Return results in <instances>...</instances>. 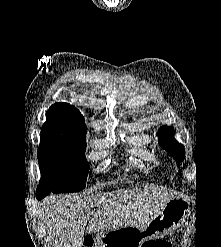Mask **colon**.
Masks as SVG:
<instances>
[{
  "label": "colon",
  "mask_w": 221,
  "mask_h": 247,
  "mask_svg": "<svg viewBox=\"0 0 221 247\" xmlns=\"http://www.w3.org/2000/svg\"><path fill=\"white\" fill-rule=\"evenodd\" d=\"M83 247H93V243L91 241H87ZM142 247H171V243L168 241H164L162 243L147 241L142 245Z\"/></svg>",
  "instance_id": "1"
}]
</instances>
